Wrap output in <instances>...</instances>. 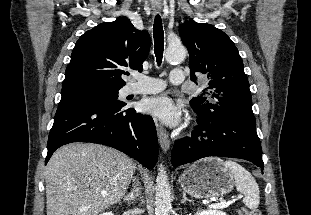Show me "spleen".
I'll list each match as a JSON object with an SVG mask.
<instances>
[{"mask_svg":"<svg viewBox=\"0 0 311 215\" xmlns=\"http://www.w3.org/2000/svg\"><path fill=\"white\" fill-rule=\"evenodd\" d=\"M224 166L234 178L236 189L244 194L243 203L252 210L258 208L260 202V191L258 184L252 174L243 166L232 160H226Z\"/></svg>","mask_w":311,"mask_h":215,"instance_id":"spleen-1","label":"spleen"}]
</instances>
